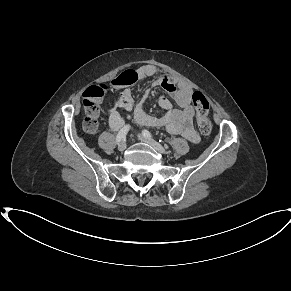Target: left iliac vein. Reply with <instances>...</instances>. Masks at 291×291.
<instances>
[{
	"label": "left iliac vein",
	"mask_w": 291,
	"mask_h": 291,
	"mask_svg": "<svg viewBox=\"0 0 291 291\" xmlns=\"http://www.w3.org/2000/svg\"><path fill=\"white\" fill-rule=\"evenodd\" d=\"M138 138H139V140L150 144L159 153H161V154L166 153L165 148L161 144H159L157 141H155L154 139L148 138V137L144 136L143 134H138Z\"/></svg>",
	"instance_id": "4c4485c4"
}]
</instances>
